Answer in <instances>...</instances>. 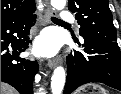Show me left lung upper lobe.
<instances>
[{"label": "left lung upper lobe", "mask_w": 121, "mask_h": 94, "mask_svg": "<svg viewBox=\"0 0 121 94\" xmlns=\"http://www.w3.org/2000/svg\"><path fill=\"white\" fill-rule=\"evenodd\" d=\"M68 5L71 12H76V19L81 26L80 35L83 38L117 41L108 0H68Z\"/></svg>", "instance_id": "1"}]
</instances>
